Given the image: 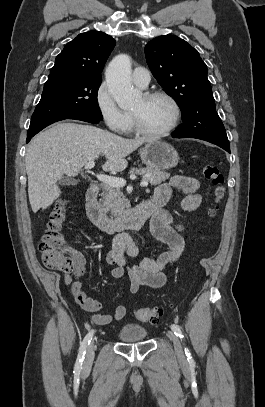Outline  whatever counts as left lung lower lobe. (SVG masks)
Segmentation results:
<instances>
[{"label":"left lung lower lobe","mask_w":265,"mask_h":407,"mask_svg":"<svg viewBox=\"0 0 265 407\" xmlns=\"http://www.w3.org/2000/svg\"><path fill=\"white\" fill-rule=\"evenodd\" d=\"M174 138H180L178 136L172 135ZM218 146H220L221 148H223L224 150H226L227 152L230 153V145L229 146H225V145H221V144H216Z\"/></svg>","instance_id":"obj_1"}]
</instances>
